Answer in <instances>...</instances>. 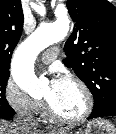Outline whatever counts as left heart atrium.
<instances>
[{"label": "left heart atrium", "instance_id": "obj_1", "mask_svg": "<svg viewBox=\"0 0 116 134\" xmlns=\"http://www.w3.org/2000/svg\"><path fill=\"white\" fill-rule=\"evenodd\" d=\"M52 76H51V80H50V93L51 95H54L58 92L61 83H62V79L59 78L58 76H56L54 74V71L51 72Z\"/></svg>", "mask_w": 116, "mask_h": 134}]
</instances>
